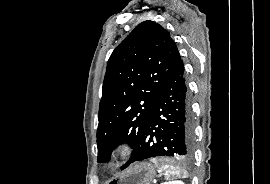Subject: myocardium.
<instances>
[{"label": "myocardium", "instance_id": "myocardium-1", "mask_svg": "<svg viewBox=\"0 0 270 184\" xmlns=\"http://www.w3.org/2000/svg\"><path fill=\"white\" fill-rule=\"evenodd\" d=\"M133 151V142L128 138H124L112 148L109 153V160L113 163L124 162L132 155Z\"/></svg>", "mask_w": 270, "mask_h": 184}]
</instances>
